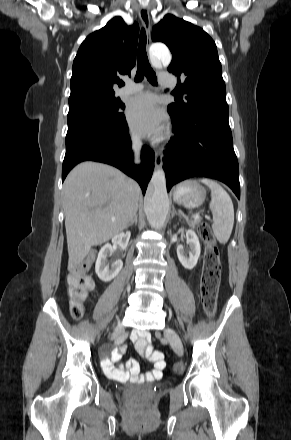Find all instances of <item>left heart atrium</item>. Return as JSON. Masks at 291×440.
<instances>
[{
    "label": "left heart atrium",
    "instance_id": "1",
    "mask_svg": "<svg viewBox=\"0 0 291 440\" xmlns=\"http://www.w3.org/2000/svg\"><path fill=\"white\" fill-rule=\"evenodd\" d=\"M126 116L130 126L139 135H160L166 125V116L158 108L153 96L144 94L128 104Z\"/></svg>",
    "mask_w": 291,
    "mask_h": 440
}]
</instances>
